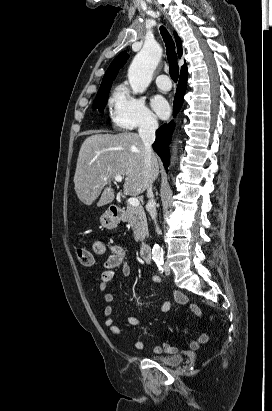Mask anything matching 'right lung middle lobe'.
Segmentation results:
<instances>
[{
  "mask_svg": "<svg viewBox=\"0 0 272 411\" xmlns=\"http://www.w3.org/2000/svg\"><path fill=\"white\" fill-rule=\"evenodd\" d=\"M111 85H108L102 89H99L97 96L93 102V109H97L99 111H103L106 103H107V98H108V94L110 91Z\"/></svg>",
  "mask_w": 272,
  "mask_h": 411,
  "instance_id": "dd1d6c3e",
  "label": "right lung middle lobe"
}]
</instances>
